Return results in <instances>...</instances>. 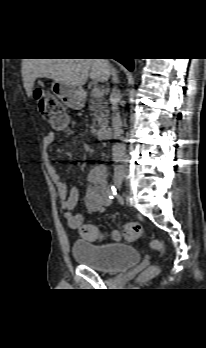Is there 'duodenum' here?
Returning a JSON list of instances; mask_svg holds the SVG:
<instances>
[{"mask_svg": "<svg viewBox=\"0 0 206 348\" xmlns=\"http://www.w3.org/2000/svg\"><path fill=\"white\" fill-rule=\"evenodd\" d=\"M112 133L113 130L110 126H104L99 130L98 136L101 139H109L112 136Z\"/></svg>", "mask_w": 206, "mask_h": 348, "instance_id": "duodenum-1", "label": "duodenum"}]
</instances>
